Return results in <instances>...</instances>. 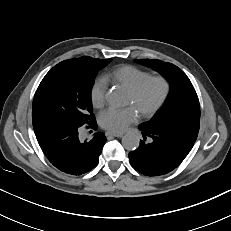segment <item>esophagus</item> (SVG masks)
I'll return each mask as SVG.
<instances>
[{
	"label": "esophagus",
	"instance_id": "1",
	"mask_svg": "<svg viewBox=\"0 0 231 231\" xmlns=\"http://www.w3.org/2000/svg\"><path fill=\"white\" fill-rule=\"evenodd\" d=\"M106 137H121L123 136V133H114V132H106Z\"/></svg>",
	"mask_w": 231,
	"mask_h": 231
}]
</instances>
